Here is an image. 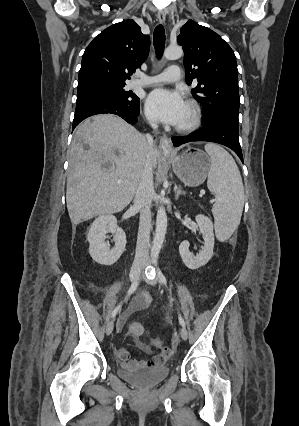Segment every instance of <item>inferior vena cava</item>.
<instances>
[{
  "label": "inferior vena cava",
  "mask_w": 299,
  "mask_h": 426,
  "mask_svg": "<svg viewBox=\"0 0 299 426\" xmlns=\"http://www.w3.org/2000/svg\"><path fill=\"white\" fill-rule=\"evenodd\" d=\"M150 125L153 129H157L158 127L154 121H151ZM145 139L148 152L134 198V207L140 212L136 254L133 262V267L137 268L149 263L151 203L154 194L151 160L154 142L152 136L149 134L146 135Z\"/></svg>",
  "instance_id": "1"
}]
</instances>
